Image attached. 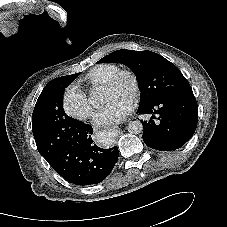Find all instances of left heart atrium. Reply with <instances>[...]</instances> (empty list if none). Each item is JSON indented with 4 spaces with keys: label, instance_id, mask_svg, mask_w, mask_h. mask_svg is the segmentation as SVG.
Here are the masks:
<instances>
[{
    "label": "left heart atrium",
    "instance_id": "left-heart-atrium-1",
    "mask_svg": "<svg viewBox=\"0 0 227 227\" xmlns=\"http://www.w3.org/2000/svg\"><path fill=\"white\" fill-rule=\"evenodd\" d=\"M132 108L131 99H114L99 112L97 123L102 126L117 124L131 112Z\"/></svg>",
    "mask_w": 227,
    "mask_h": 227
}]
</instances>
